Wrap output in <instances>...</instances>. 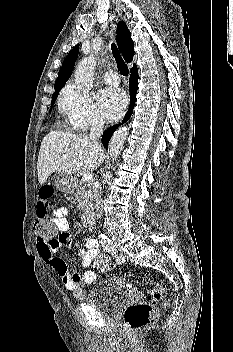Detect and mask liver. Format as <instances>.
Wrapping results in <instances>:
<instances>
[{
	"mask_svg": "<svg viewBox=\"0 0 233 352\" xmlns=\"http://www.w3.org/2000/svg\"><path fill=\"white\" fill-rule=\"evenodd\" d=\"M104 157L102 146L84 134L51 131L44 137L39 151V183L43 185L54 172L74 174L81 169L93 171Z\"/></svg>",
	"mask_w": 233,
	"mask_h": 352,
	"instance_id": "1",
	"label": "liver"
}]
</instances>
